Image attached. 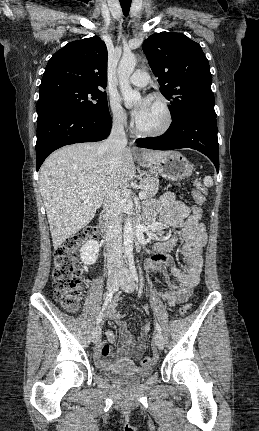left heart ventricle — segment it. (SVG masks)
<instances>
[{"label":"left heart ventricle","instance_id":"b2bd125f","mask_svg":"<svg viewBox=\"0 0 259 431\" xmlns=\"http://www.w3.org/2000/svg\"><path fill=\"white\" fill-rule=\"evenodd\" d=\"M164 122V112L161 105L149 99L148 107L142 117L136 121L138 127L145 131H153L162 126Z\"/></svg>","mask_w":259,"mask_h":431}]
</instances>
